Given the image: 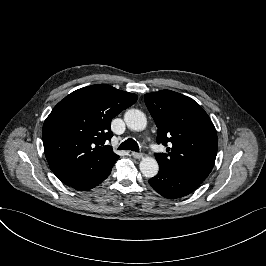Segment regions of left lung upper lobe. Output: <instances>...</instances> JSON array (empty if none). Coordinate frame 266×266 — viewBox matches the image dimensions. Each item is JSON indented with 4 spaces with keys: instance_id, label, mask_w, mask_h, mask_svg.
<instances>
[{
    "instance_id": "left-lung-upper-lobe-1",
    "label": "left lung upper lobe",
    "mask_w": 266,
    "mask_h": 266,
    "mask_svg": "<svg viewBox=\"0 0 266 266\" xmlns=\"http://www.w3.org/2000/svg\"><path fill=\"white\" fill-rule=\"evenodd\" d=\"M144 99L158 128L157 143L171 147L168 154L155 153L158 164L202 183L218 149L207 113L191 98L170 90L145 94Z\"/></svg>"
}]
</instances>
